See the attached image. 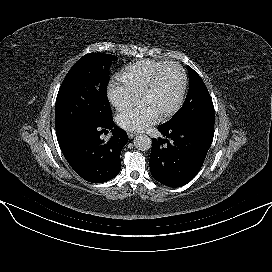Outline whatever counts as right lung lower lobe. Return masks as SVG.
Instances as JSON below:
<instances>
[{"instance_id":"obj_1","label":"right lung lower lobe","mask_w":272,"mask_h":272,"mask_svg":"<svg viewBox=\"0 0 272 272\" xmlns=\"http://www.w3.org/2000/svg\"><path fill=\"white\" fill-rule=\"evenodd\" d=\"M111 129L108 141L100 135ZM128 142L127 133L114 126L112 118L101 125H86L59 142L62 153L73 170L91 183L116 177L121 170L120 153Z\"/></svg>"}]
</instances>
